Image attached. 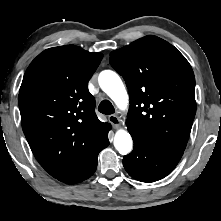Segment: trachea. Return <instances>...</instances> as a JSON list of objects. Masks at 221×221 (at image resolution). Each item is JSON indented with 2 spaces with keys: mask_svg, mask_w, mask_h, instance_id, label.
<instances>
[{
  "mask_svg": "<svg viewBox=\"0 0 221 221\" xmlns=\"http://www.w3.org/2000/svg\"><path fill=\"white\" fill-rule=\"evenodd\" d=\"M98 110H99V112H101L105 115H110V114H113L115 112V109H114L112 103L108 100H103L99 104Z\"/></svg>",
  "mask_w": 221,
  "mask_h": 221,
  "instance_id": "1",
  "label": "trachea"
}]
</instances>
